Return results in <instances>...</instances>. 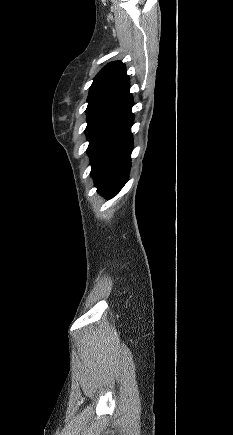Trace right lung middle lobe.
I'll list each match as a JSON object with an SVG mask.
<instances>
[{"label": "right lung middle lobe", "instance_id": "obj_1", "mask_svg": "<svg viewBox=\"0 0 233 435\" xmlns=\"http://www.w3.org/2000/svg\"><path fill=\"white\" fill-rule=\"evenodd\" d=\"M123 116L116 115H95L87 117V127L85 130L89 146L87 149L90 155L100 142L124 119Z\"/></svg>", "mask_w": 233, "mask_h": 435}]
</instances>
